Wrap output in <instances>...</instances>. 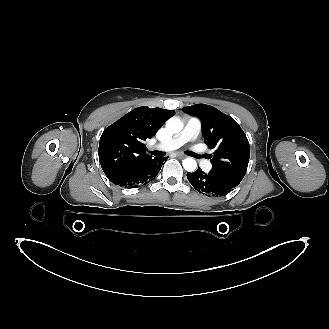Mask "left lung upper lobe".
Wrapping results in <instances>:
<instances>
[{
    "instance_id": "left-lung-upper-lobe-1",
    "label": "left lung upper lobe",
    "mask_w": 329,
    "mask_h": 329,
    "mask_svg": "<svg viewBox=\"0 0 329 329\" xmlns=\"http://www.w3.org/2000/svg\"><path fill=\"white\" fill-rule=\"evenodd\" d=\"M182 110L201 120L204 142L210 148H216L211 159V172L239 184L250 158L249 142L239 124L206 104H195Z\"/></svg>"
}]
</instances>
